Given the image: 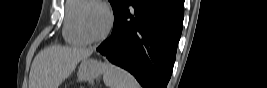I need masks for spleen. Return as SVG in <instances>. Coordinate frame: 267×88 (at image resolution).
I'll return each mask as SVG.
<instances>
[{"instance_id":"spleen-1","label":"spleen","mask_w":267,"mask_h":88,"mask_svg":"<svg viewBox=\"0 0 267 88\" xmlns=\"http://www.w3.org/2000/svg\"><path fill=\"white\" fill-rule=\"evenodd\" d=\"M103 81L108 88H140L137 80L127 71L111 63H103Z\"/></svg>"}]
</instances>
